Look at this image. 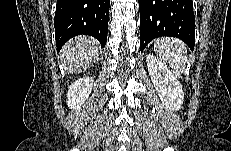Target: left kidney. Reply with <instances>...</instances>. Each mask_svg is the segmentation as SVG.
Returning a JSON list of instances; mask_svg holds the SVG:
<instances>
[{"mask_svg": "<svg viewBox=\"0 0 231 151\" xmlns=\"http://www.w3.org/2000/svg\"><path fill=\"white\" fill-rule=\"evenodd\" d=\"M148 72L160 100L169 111L181 109L184 100L182 85L174 74L155 56L146 57Z\"/></svg>", "mask_w": 231, "mask_h": 151, "instance_id": "obj_1", "label": "left kidney"}]
</instances>
